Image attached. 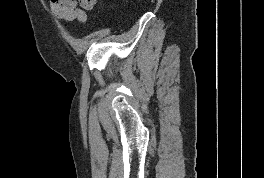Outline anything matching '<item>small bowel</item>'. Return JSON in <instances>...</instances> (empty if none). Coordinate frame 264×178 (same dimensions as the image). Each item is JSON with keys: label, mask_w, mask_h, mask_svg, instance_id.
<instances>
[{"label": "small bowel", "mask_w": 264, "mask_h": 178, "mask_svg": "<svg viewBox=\"0 0 264 178\" xmlns=\"http://www.w3.org/2000/svg\"><path fill=\"white\" fill-rule=\"evenodd\" d=\"M52 12L61 20L67 22H85L87 20L86 10H90L95 0L88 6H84L83 0H48Z\"/></svg>", "instance_id": "small-bowel-1"}]
</instances>
